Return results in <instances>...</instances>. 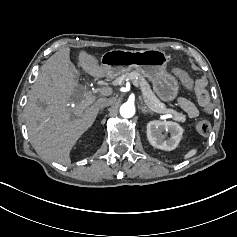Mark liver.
<instances>
[{
  "instance_id": "1",
  "label": "liver",
  "mask_w": 237,
  "mask_h": 237,
  "mask_svg": "<svg viewBox=\"0 0 237 237\" xmlns=\"http://www.w3.org/2000/svg\"><path fill=\"white\" fill-rule=\"evenodd\" d=\"M71 48L53 54L41 67L40 74L31 86L24 109L26 127L36 153L50 162L70 165V154L79 138L93 125L104 97L113 94L112 87L99 90L98 99L92 102L91 94L73 99L78 87L79 72L70 60ZM78 62L82 69L95 79L107 76L98 57L81 49ZM75 103V107L67 104Z\"/></svg>"
}]
</instances>
